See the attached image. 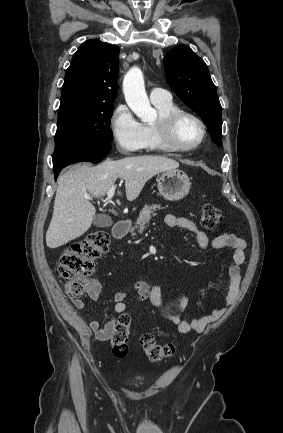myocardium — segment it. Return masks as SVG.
I'll return each instance as SVG.
<instances>
[{
  "label": "myocardium",
  "mask_w": 283,
  "mask_h": 433,
  "mask_svg": "<svg viewBox=\"0 0 283 433\" xmlns=\"http://www.w3.org/2000/svg\"><path fill=\"white\" fill-rule=\"evenodd\" d=\"M189 117L193 119L201 129V136L194 143L183 146L176 139V130L179 122ZM161 137L164 147L169 151L185 153L197 149L206 139L208 128L205 122L194 112L184 109H178L167 115L160 126Z\"/></svg>",
  "instance_id": "myocardium-1"
}]
</instances>
